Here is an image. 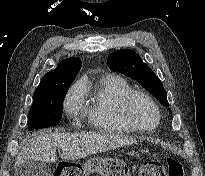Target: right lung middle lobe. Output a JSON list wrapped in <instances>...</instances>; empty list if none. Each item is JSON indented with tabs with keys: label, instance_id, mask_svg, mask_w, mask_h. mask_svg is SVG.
I'll list each match as a JSON object with an SVG mask.
<instances>
[{
	"label": "right lung middle lobe",
	"instance_id": "right-lung-middle-lobe-1",
	"mask_svg": "<svg viewBox=\"0 0 205 176\" xmlns=\"http://www.w3.org/2000/svg\"><path fill=\"white\" fill-rule=\"evenodd\" d=\"M69 86L54 92L33 97V105L28 116V130L46 128L60 123L63 100Z\"/></svg>",
	"mask_w": 205,
	"mask_h": 176
}]
</instances>
